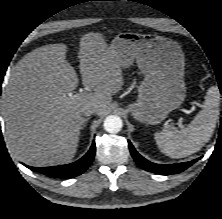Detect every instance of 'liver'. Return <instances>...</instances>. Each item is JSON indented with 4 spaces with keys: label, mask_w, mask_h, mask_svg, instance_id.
Listing matches in <instances>:
<instances>
[{
    "label": "liver",
    "mask_w": 222,
    "mask_h": 219,
    "mask_svg": "<svg viewBox=\"0 0 222 219\" xmlns=\"http://www.w3.org/2000/svg\"><path fill=\"white\" fill-rule=\"evenodd\" d=\"M66 44L45 45L26 54L14 67L3 96L7 142L23 163L36 167L70 162L77 151L87 107L105 115L124 79L118 59L101 33L79 42L83 85L94 93L67 96L79 80L66 59Z\"/></svg>",
    "instance_id": "obj_1"
}]
</instances>
